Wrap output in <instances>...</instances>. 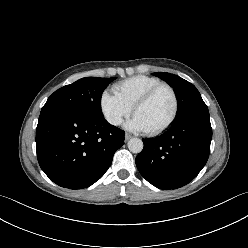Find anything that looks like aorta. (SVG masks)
<instances>
[{
	"instance_id": "aorta-1",
	"label": "aorta",
	"mask_w": 248,
	"mask_h": 248,
	"mask_svg": "<svg viewBox=\"0 0 248 248\" xmlns=\"http://www.w3.org/2000/svg\"><path fill=\"white\" fill-rule=\"evenodd\" d=\"M128 149L132 153H140L143 149V142L139 138H132L128 141Z\"/></svg>"
}]
</instances>
